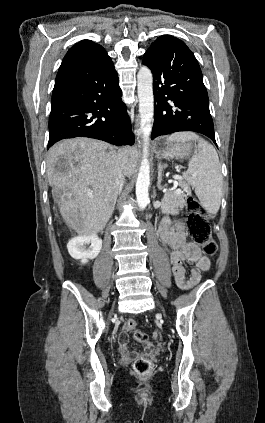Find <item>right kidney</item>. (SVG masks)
Instances as JSON below:
<instances>
[{
	"mask_svg": "<svg viewBox=\"0 0 265 423\" xmlns=\"http://www.w3.org/2000/svg\"><path fill=\"white\" fill-rule=\"evenodd\" d=\"M86 245H90L89 249H85ZM101 248L102 240L97 234L74 237L67 244L70 256L80 260L83 264L87 263L88 260L96 258Z\"/></svg>",
	"mask_w": 265,
	"mask_h": 423,
	"instance_id": "1",
	"label": "right kidney"
}]
</instances>
